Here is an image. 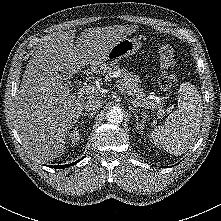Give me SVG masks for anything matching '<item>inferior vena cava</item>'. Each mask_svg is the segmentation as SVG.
Listing matches in <instances>:
<instances>
[{
  "mask_svg": "<svg viewBox=\"0 0 221 221\" xmlns=\"http://www.w3.org/2000/svg\"><path fill=\"white\" fill-rule=\"evenodd\" d=\"M103 104V100L91 98L85 102L84 108L86 111H95L100 109L103 106Z\"/></svg>",
  "mask_w": 221,
  "mask_h": 221,
  "instance_id": "inferior-vena-cava-1",
  "label": "inferior vena cava"
}]
</instances>
